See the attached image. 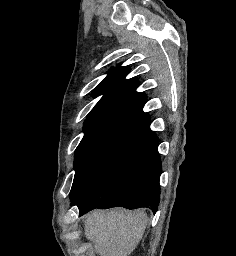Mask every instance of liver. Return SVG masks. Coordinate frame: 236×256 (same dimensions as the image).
Here are the masks:
<instances>
[{
    "label": "liver",
    "instance_id": "liver-1",
    "mask_svg": "<svg viewBox=\"0 0 236 256\" xmlns=\"http://www.w3.org/2000/svg\"><path fill=\"white\" fill-rule=\"evenodd\" d=\"M84 234L99 256H130L143 238L148 218L142 210H94L87 214Z\"/></svg>",
    "mask_w": 236,
    "mask_h": 256
}]
</instances>
